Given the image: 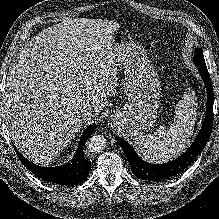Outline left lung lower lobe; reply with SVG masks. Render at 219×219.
<instances>
[{"instance_id":"obj_1","label":"left lung lower lobe","mask_w":219,"mask_h":219,"mask_svg":"<svg viewBox=\"0 0 219 219\" xmlns=\"http://www.w3.org/2000/svg\"><path fill=\"white\" fill-rule=\"evenodd\" d=\"M196 66L199 67L200 75L207 88L206 115L197 138L184 154H182L176 160H173L166 164H148L147 162L139 158V156L135 153L130 144H128L124 139L116 137L118 144L123 149L129 161L132 173L137 178L148 181H160L164 179H170L173 176L182 172L185 168H187L203 151L205 145L207 144L213 126L214 96L211 79L206 65L196 64Z\"/></svg>"}]
</instances>
